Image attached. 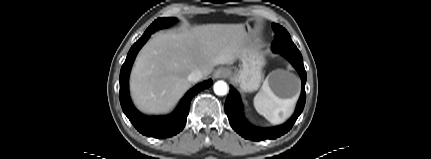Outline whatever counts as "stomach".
<instances>
[{
    "label": "stomach",
    "mask_w": 431,
    "mask_h": 159,
    "mask_svg": "<svg viewBox=\"0 0 431 159\" xmlns=\"http://www.w3.org/2000/svg\"><path fill=\"white\" fill-rule=\"evenodd\" d=\"M254 22H247L245 28L250 32ZM241 65L234 68L232 80L245 92L258 90L262 80L263 55L253 47L247 46L240 57ZM272 92L282 99L297 96L300 89L299 79L285 71H274L266 78Z\"/></svg>",
    "instance_id": "1"
}]
</instances>
